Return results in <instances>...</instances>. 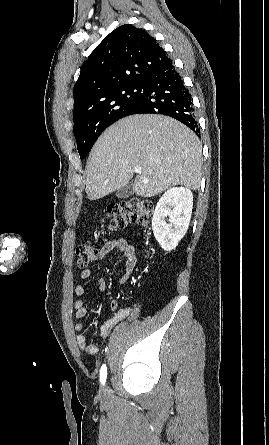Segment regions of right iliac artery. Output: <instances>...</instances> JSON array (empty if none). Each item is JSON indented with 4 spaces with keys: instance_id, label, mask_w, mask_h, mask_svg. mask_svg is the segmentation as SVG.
I'll list each match as a JSON object with an SVG mask.
<instances>
[{
    "instance_id": "right-iliac-artery-1",
    "label": "right iliac artery",
    "mask_w": 269,
    "mask_h": 445,
    "mask_svg": "<svg viewBox=\"0 0 269 445\" xmlns=\"http://www.w3.org/2000/svg\"><path fill=\"white\" fill-rule=\"evenodd\" d=\"M106 378H107V367L104 364L100 369V382L102 383V385L105 384Z\"/></svg>"
}]
</instances>
